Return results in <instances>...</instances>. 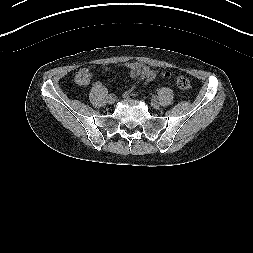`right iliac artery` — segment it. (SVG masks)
Listing matches in <instances>:
<instances>
[{"instance_id":"82829eb1","label":"right iliac artery","mask_w":253,"mask_h":253,"mask_svg":"<svg viewBox=\"0 0 253 253\" xmlns=\"http://www.w3.org/2000/svg\"><path fill=\"white\" fill-rule=\"evenodd\" d=\"M108 96H109V97H113L112 93H110Z\"/></svg>"}]
</instances>
